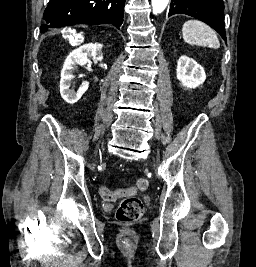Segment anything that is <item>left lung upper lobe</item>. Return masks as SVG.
Listing matches in <instances>:
<instances>
[{
  "label": "left lung upper lobe",
  "instance_id": "obj_1",
  "mask_svg": "<svg viewBox=\"0 0 256 267\" xmlns=\"http://www.w3.org/2000/svg\"><path fill=\"white\" fill-rule=\"evenodd\" d=\"M223 0H172L168 17L174 14L193 16L213 27L226 42Z\"/></svg>",
  "mask_w": 256,
  "mask_h": 267
}]
</instances>
